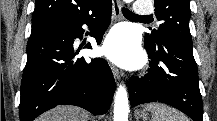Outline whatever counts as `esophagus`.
Wrapping results in <instances>:
<instances>
[{"label":"esophagus","instance_id":"esophagus-1","mask_svg":"<svg viewBox=\"0 0 217 121\" xmlns=\"http://www.w3.org/2000/svg\"><path fill=\"white\" fill-rule=\"evenodd\" d=\"M112 9H113V17L115 20L119 19L122 15V2L120 0H112ZM111 70L113 76L116 79H120L123 77V73L116 68L114 65H111Z\"/></svg>","mask_w":217,"mask_h":121}]
</instances>
